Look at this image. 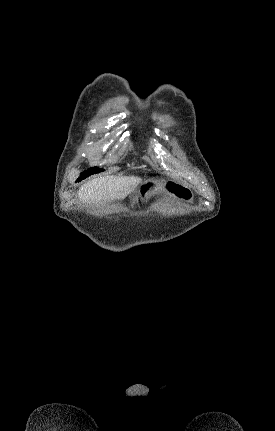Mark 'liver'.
I'll return each instance as SVG.
<instances>
[{
	"instance_id": "1",
	"label": "liver",
	"mask_w": 275,
	"mask_h": 431,
	"mask_svg": "<svg viewBox=\"0 0 275 431\" xmlns=\"http://www.w3.org/2000/svg\"><path fill=\"white\" fill-rule=\"evenodd\" d=\"M140 183L141 178L134 176H101L83 184L78 196L83 203L103 204L124 199Z\"/></svg>"
}]
</instances>
